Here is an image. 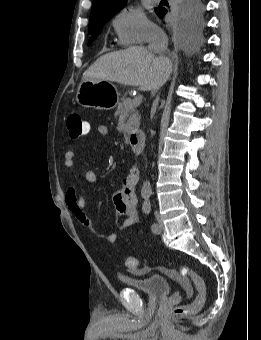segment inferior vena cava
I'll return each instance as SVG.
<instances>
[{"mask_svg":"<svg viewBox=\"0 0 261 340\" xmlns=\"http://www.w3.org/2000/svg\"><path fill=\"white\" fill-rule=\"evenodd\" d=\"M148 42H149L148 49L154 53L159 54L160 56H164L165 53L168 51V48H167L168 37L160 28L152 29ZM168 77H169V73L166 74V76L163 78L158 89H160L163 86V84L166 82ZM158 102H159V96H157L153 102V109L157 107Z\"/></svg>","mask_w":261,"mask_h":340,"instance_id":"602c4592","label":"inferior vena cava"}]
</instances>
